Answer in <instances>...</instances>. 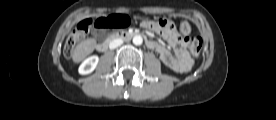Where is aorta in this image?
<instances>
[{"mask_svg": "<svg viewBox=\"0 0 276 120\" xmlns=\"http://www.w3.org/2000/svg\"><path fill=\"white\" fill-rule=\"evenodd\" d=\"M143 42V38L140 35H136L133 37V44L136 46L141 45Z\"/></svg>", "mask_w": 276, "mask_h": 120, "instance_id": "aorta-1", "label": "aorta"}]
</instances>
